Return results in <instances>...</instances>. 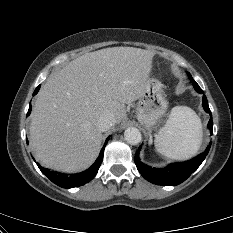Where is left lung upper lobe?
<instances>
[{"label": "left lung upper lobe", "instance_id": "obj_1", "mask_svg": "<svg viewBox=\"0 0 233 233\" xmlns=\"http://www.w3.org/2000/svg\"><path fill=\"white\" fill-rule=\"evenodd\" d=\"M188 75H189V77H190V80L193 79L189 73H188Z\"/></svg>", "mask_w": 233, "mask_h": 233}]
</instances>
